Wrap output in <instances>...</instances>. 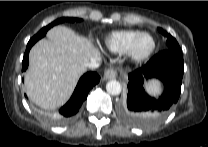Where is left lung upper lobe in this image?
Wrapping results in <instances>:
<instances>
[{"label": "left lung upper lobe", "instance_id": "1", "mask_svg": "<svg viewBox=\"0 0 208 147\" xmlns=\"http://www.w3.org/2000/svg\"><path fill=\"white\" fill-rule=\"evenodd\" d=\"M158 31L165 37L166 46H167L166 49H171L181 52L180 46L173 36H171L168 32H166L162 28H158Z\"/></svg>", "mask_w": 208, "mask_h": 147}]
</instances>
